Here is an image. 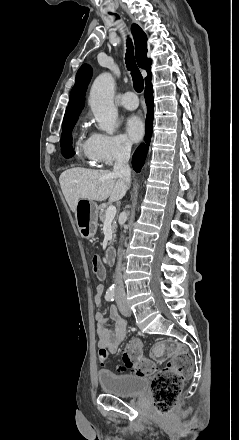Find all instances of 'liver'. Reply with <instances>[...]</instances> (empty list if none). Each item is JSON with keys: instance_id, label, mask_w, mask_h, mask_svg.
I'll return each mask as SVG.
<instances>
[{"instance_id": "1", "label": "liver", "mask_w": 239, "mask_h": 440, "mask_svg": "<svg viewBox=\"0 0 239 440\" xmlns=\"http://www.w3.org/2000/svg\"><path fill=\"white\" fill-rule=\"evenodd\" d=\"M119 176L110 170H87V168H71L62 172L59 182L63 196L72 212L81 200L119 202L124 198L128 188L125 180H117Z\"/></svg>"}]
</instances>
